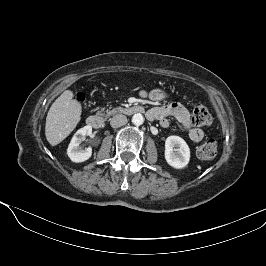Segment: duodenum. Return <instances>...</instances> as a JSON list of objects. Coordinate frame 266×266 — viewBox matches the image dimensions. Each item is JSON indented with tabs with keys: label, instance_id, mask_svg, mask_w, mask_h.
I'll return each mask as SVG.
<instances>
[{
	"label": "duodenum",
	"instance_id": "duodenum-1",
	"mask_svg": "<svg viewBox=\"0 0 266 266\" xmlns=\"http://www.w3.org/2000/svg\"><path fill=\"white\" fill-rule=\"evenodd\" d=\"M123 112L127 115L144 113V108L140 105L130 106L125 108ZM106 119L101 115H91L87 118V124L94 129H102L105 126Z\"/></svg>",
	"mask_w": 266,
	"mask_h": 266
}]
</instances>
